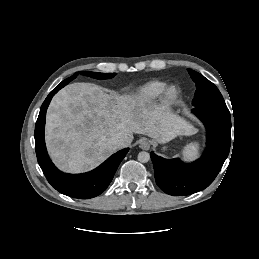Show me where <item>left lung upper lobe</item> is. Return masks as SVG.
Masks as SVG:
<instances>
[{"instance_id": "left-lung-upper-lobe-1", "label": "left lung upper lobe", "mask_w": 259, "mask_h": 259, "mask_svg": "<svg viewBox=\"0 0 259 259\" xmlns=\"http://www.w3.org/2000/svg\"><path fill=\"white\" fill-rule=\"evenodd\" d=\"M188 72L196 83L197 89L192 101L195 107L200 105H225L220 91L212 82L191 69H188Z\"/></svg>"}]
</instances>
